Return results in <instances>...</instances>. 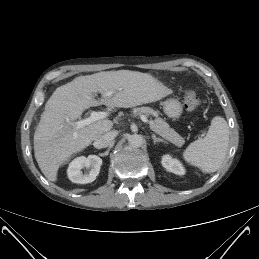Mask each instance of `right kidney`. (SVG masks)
Listing matches in <instances>:
<instances>
[{"label": "right kidney", "instance_id": "right-kidney-1", "mask_svg": "<svg viewBox=\"0 0 259 259\" xmlns=\"http://www.w3.org/2000/svg\"><path fill=\"white\" fill-rule=\"evenodd\" d=\"M101 165L102 159L96 155L77 157L69 164L67 169L68 178L78 184L91 183L98 176ZM84 168H90V171L83 174L82 169Z\"/></svg>", "mask_w": 259, "mask_h": 259}]
</instances>
